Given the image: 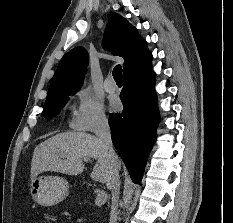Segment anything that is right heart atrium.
I'll use <instances>...</instances> for the list:
<instances>
[{
  "mask_svg": "<svg viewBox=\"0 0 233 223\" xmlns=\"http://www.w3.org/2000/svg\"><path fill=\"white\" fill-rule=\"evenodd\" d=\"M69 125L72 129L97 132L109 127L102 102L87 89L78 92V104Z\"/></svg>",
  "mask_w": 233,
  "mask_h": 223,
  "instance_id": "obj_1",
  "label": "right heart atrium"
}]
</instances>
